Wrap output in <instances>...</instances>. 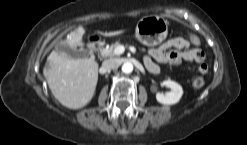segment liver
<instances>
[{
  "label": "liver",
  "mask_w": 247,
  "mask_h": 145,
  "mask_svg": "<svg viewBox=\"0 0 247 145\" xmlns=\"http://www.w3.org/2000/svg\"><path fill=\"white\" fill-rule=\"evenodd\" d=\"M83 27L71 32L64 41L67 45L83 46ZM115 36L122 31L99 32ZM54 97L65 107L80 109L94 96L98 81V63L93 58H71L67 53L52 51L43 70Z\"/></svg>",
  "instance_id": "liver-1"
}]
</instances>
